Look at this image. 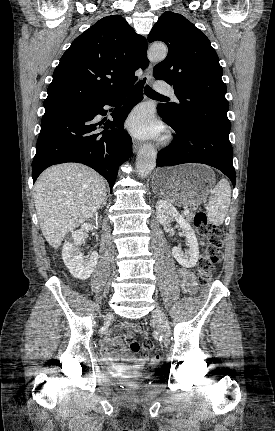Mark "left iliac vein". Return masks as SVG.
Wrapping results in <instances>:
<instances>
[{
	"mask_svg": "<svg viewBox=\"0 0 275 431\" xmlns=\"http://www.w3.org/2000/svg\"><path fill=\"white\" fill-rule=\"evenodd\" d=\"M152 317L157 324V328H158L159 332L161 333V336L163 338L164 343H168L171 332H170V328H169V324H168L166 315L163 313V311L158 306H156V308L152 312Z\"/></svg>",
	"mask_w": 275,
	"mask_h": 431,
	"instance_id": "1",
	"label": "left iliac vein"
}]
</instances>
